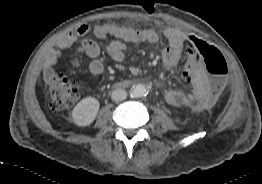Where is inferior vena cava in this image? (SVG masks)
I'll return each mask as SVG.
<instances>
[{"label":"inferior vena cava","instance_id":"inferior-vena-cava-1","mask_svg":"<svg viewBox=\"0 0 262 184\" xmlns=\"http://www.w3.org/2000/svg\"><path fill=\"white\" fill-rule=\"evenodd\" d=\"M126 97H127V92L124 89H115L111 94L112 100L116 102L122 101L126 99Z\"/></svg>","mask_w":262,"mask_h":184}]
</instances>
